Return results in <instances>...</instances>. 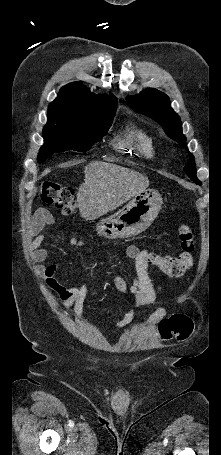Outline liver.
<instances>
[{
	"mask_svg": "<svg viewBox=\"0 0 221 455\" xmlns=\"http://www.w3.org/2000/svg\"><path fill=\"white\" fill-rule=\"evenodd\" d=\"M84 173L77 203L80 215L86 220L115 210L149 186L146 176L113 163L91 162L85 166Z\"/></svg>",
	"mask_w": 221,
	"mask_h": 455,
	"instance_id": "1",
	"label": "liver"
}]
</instances>
